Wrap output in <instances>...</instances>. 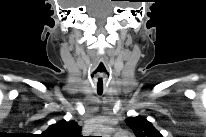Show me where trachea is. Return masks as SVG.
<instances>
[{
  "instance_id": "trachea-1",
  "label": "trachea",
  "mask_w": 206,
  "mask_h": 137,
  "mask_svg": "<svg viewBox=\"0 0 206 137\" xmlns=\"http://www.w3.org/2000/svg\"><path fill=\"white\" fill-rule=\"evenodd\" d=\"M97 72H100V73L105 72V69H104V66H103L102 63L99 65V67H98L97 70L95 71V73H97ZM97 88L100 89V90H98L97 92H98L99 95H101L102 92H103V78H102V77H98V80H97Z\"/></svg>"
}]
</instances>
